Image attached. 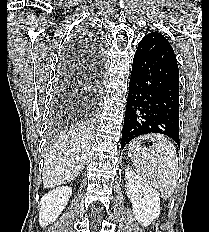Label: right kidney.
Here are the masks:
<instances>
[{
  "instance_id": "1",
  "label": "right kidney",
  "mask_w": 209,
  "mask_h": 232,
  "mask_svg": "<svg viewBox=\"0 0 209 232\" xmlns=\"http://www.w3.org/2000/svg\"><path fill=\"white\" fill-rule=\"evenodd\" d=\"M71 195V187L61 186L42 197L39 211V223L41 227L48 226V224L58 218L65 209Z\"/></svg>"
}]
</instances>
